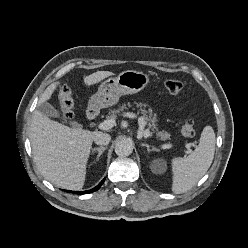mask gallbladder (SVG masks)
Segmentation results:
<instances>
[{
	"mask_svg": "<svg viewBox=\"0 0 248 248\" xmlns=\"http://www.w3.org/2000/svg\"><path fill=\"white\" fill-rule=\"evenodd\" d=\"M37 109L44 115L53 117V118H59L60 113L58 110H56L51 104L49 103H42L37 107ZM73 126H76L77 124L75 122L71 123Z\"/></svg>",
	"mask_w": 248,
	"mask_h": 248,
	"instance_id": "1",
	"label": "gallbladder"
}]
</instances>
